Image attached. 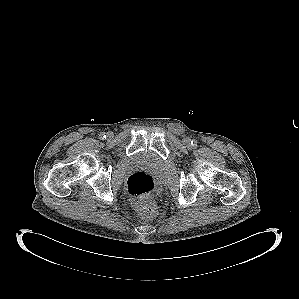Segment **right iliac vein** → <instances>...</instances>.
Listing matches in <instances>:
<instances>
[{
	"label": "right iliac vein",
	"mask_w": 299,
	"mask_h": 299,
	"mask_svg": "<svg viewBox=\"0 0 299 299\" xmlns=\"http://www.w3.org/2000/svg\"><path fill=\"white\" fill-rule=\"evenodd\" d=\"M112 134L111 133H108V136H111Z\"/></svg>",
	"instance_id": "63e3f726"
}]
</instances>
